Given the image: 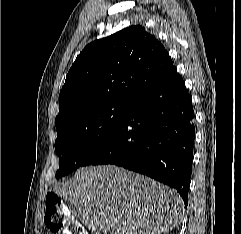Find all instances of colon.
Listing matches in <instances>:
<instances>
[{"instance_id": "colon-1", "label": "colon", "mask_w": 241, "mask_h": 234, "mask_svg": "<svg viewBox=\"0 0 241 234\" xmlns=\"http://www.w3.org/2000/svg\"><path fill=\"white\" fill-rule=\"evenodd\" d=\"M45 224L52 234H84L82 225L56 194L46 197Z\"/></svg>"}]
</instances>
